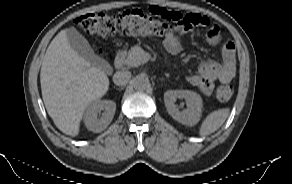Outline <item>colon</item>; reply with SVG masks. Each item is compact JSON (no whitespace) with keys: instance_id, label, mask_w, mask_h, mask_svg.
I'll list each match as a JSON object with an SVG mask.
<instances>
[{"instance_id":"colon-1","label":"colon","mask_w":292,"mask_h":184,"mask_svg":"<svg viewBox=\"0 0 292 184\" xmlns=\"http://www.w3.org/2000/svg\"><path fill=\"white\" fill-rule=\"evenodd\" d=\"M76 24L86 33L99 36L166 37L174 27L187 29L191 21L187 15L153 6L148 12L132 9L114 14L95 12L79 16ZM233 90L221 85L216 90L220 101H228Z\"/></svg>"}]
</instances>
